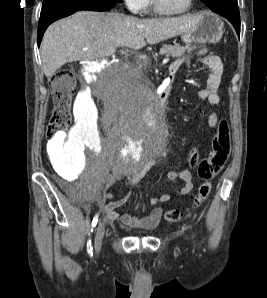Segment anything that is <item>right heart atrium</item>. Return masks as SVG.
<instances>
[{"label": "right heart atrium", "instance_id": "right-heart-atrium-1", "mask_svg": "<svg viewBox=\"0 0 267 298\" xmlns=\"http://www.w3.org/2000/svg\"><path fill=\"white\" fill-rule=\"evenodd\" d=\"M132 13H141L146 9L148 0H123Z\"/></svg>", "mask_w": 267, "mask_h": 298}]
</instances>
